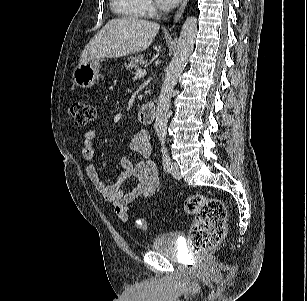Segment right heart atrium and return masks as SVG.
I'll return each mask as SVG.
<instances>
[{
    "mask_svg": "<svg viewBox=\"0 0 307 301\" xmlns=\"http://www.w3.org/2000/svg\"><path fill=\"white\" fill-rule=\"evenodd\" d=\"M145 11L146 14L153 16L156 12L154 4L151 2V0H145Z\"/></svg>",
    "mask_w": 307,
    "mask_h": 301,
    "instance_id": "1",
    "label": "right heart atrium"
}]
</instances>
